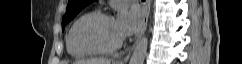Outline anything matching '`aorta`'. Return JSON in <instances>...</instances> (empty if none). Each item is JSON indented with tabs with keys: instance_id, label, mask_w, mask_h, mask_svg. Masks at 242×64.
Wrapping results in <instances>:
<instances>
[{
	"instance_id": "762f6f07",
	"label": "aorta",
	"mask_w": 242,
	"mask_h": 64,
	"mask_svg": "<svg viewBox=\"0 0 242 64\" xmlns=\"http://www.w3.org/2000/svg\"><path fill=\"white\" fill-rule=\"evenodd\" d=\"M148 38L146 36L140 38L134 48L129 64H144L147 54Z\"/></svg>"
}]
</instances>
